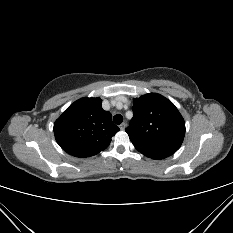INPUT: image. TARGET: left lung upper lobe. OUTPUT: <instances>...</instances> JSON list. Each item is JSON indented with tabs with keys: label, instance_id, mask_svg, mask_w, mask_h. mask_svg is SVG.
Returning a JSON list of instances; mask_svg holds the SVG:
<instances>
[{
	"label": "left lung upper lobe",
	"instance_id": "left-lung-upper-lobe-1",
	"mask_svg": "<svg viewBox=\"0 0 233 233\" xmlns=\"http://www.w3.org/2000/svg\"><path fill=\"white\" fill-rule=\"evenodd\" d=\"M125 131L143 155L164 159L180 148L185 122L170 100L150 93L133 100V118Z\"/></svg>",
	"mask_w": 233,
	"mask_h": 233
}]
</instances>
